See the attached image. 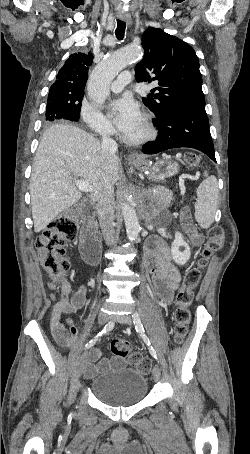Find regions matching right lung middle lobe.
Here are the masks:
<instances>
[{
  "label": "right lung middle lobe",
  "mask_w": 250,
  "mask_h": 454,
  "mask_svg": "<svg viewBox=\"0 0 250 454\" xmlns=\"http://www.w3.org/2000/svg\"><path fill=\"white\" fill-rule=\"evenodd\" d=\"M83 96L84 93L71 98L49 93L45 120L47 122H51L57 119L78 121L80 117L79 113Z\"/></svg>",
  "instance_id": "dd1d6c3e"
}]
</instances>
